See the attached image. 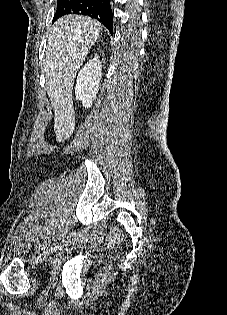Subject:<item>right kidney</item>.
<instances>
[{
  "instance_id": "1",
  "label": "right kidney",
  "mask_w": 227,
  "mask_h": 315,
  "mask_svg": "<svg viewBox=\"0 0 227 315\" xmlns=\"http://www.w3.org/2000/svg\"><path fill=\"white\" fill-rule=\"evenodd\" d=\"M101 75L102 66L98 56L89 60L78 73L75 95L77 100L82 101L85 108L91 107L93 100L96 98Z\"/></svg>"
}]
</instances>
